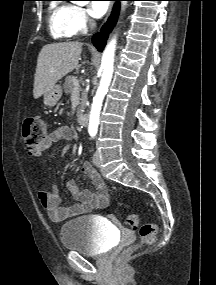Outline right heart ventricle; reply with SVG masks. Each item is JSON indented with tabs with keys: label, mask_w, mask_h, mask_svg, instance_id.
Wrapping results in <instances>:
<instances>
[{
	"label": "right heart ventricle",
	"mask_w": 216,
	"mask_h": 285,
	"mask_svg": "<svg viewBox=\"0 0 216 285\" xmlns=\"http://www.w3.org/2000/svg\"><path fill=\"white\" fill-rule=\"evenodd\" d=\"M72 6L53 3L49 7V29L52 37L57 40L71 38L75 30L71 20Z\"/></svg>",
	"instance_id": "right-heart-ventricle-1"
}]
</instances>
